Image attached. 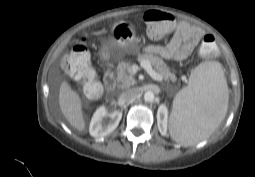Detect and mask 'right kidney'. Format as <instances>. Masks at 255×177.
Here are the masks:
<instances>
[{
    "label": "right kidney",
    "instance_id": "ca27d5eb",
    "mask_svg": "<svg viewBox=\"0 0 255 177\" xmlns=\"http://www.w3.org/2000/svg\"><path fill=\"white\" fill-rule=\"evenodd\" d=\"M109 115L110 120L107 124L104 123L103 119ZM122 118L121 111H114L107 114L106 108L104 106L99 107L93 114L90 122L89 133L92 137L103 138L110 133H112L118 126Z\"/></svg>",
    "mask_w": 255,
    "mask_h": 177
}]
</instances>
